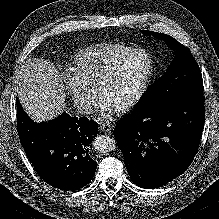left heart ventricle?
<instances>
[{"mask_svg":"<svg viewBox=\"0 0 219 219\" xmlns=\"http://www.w3.org/2000/svg\"><path fill=\"white\" fill-rule=\"evenodd\" d=\"M148 68L149 60L144 54L127 59L105 86L101 97L112 107L128 102L139 89Z\"/></svg>","mask_w":219,"mask_h":219,"instance_id":"1","label":"left heart ventricle"}]
</instances>
